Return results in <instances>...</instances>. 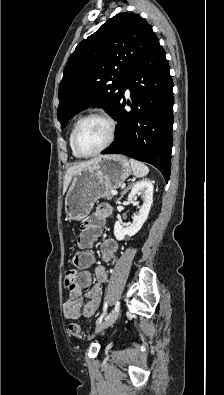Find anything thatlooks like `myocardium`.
I'll use <instances>...</instances> for the list:
<instances>
[{"instance_id":"f54148a6","label":"myocardium","mask_w":224,"mask_h":395,"mask_svg":"<svg viewBox=\"0 0 224 395\" xmlns=\"http://www.w3.org/2000/svg\"><path fill=\"white\" fill-rule=\"evenodd\" d=\"M91 118H98V119H101L104 122H106L108 125V128H109V136H108L106 142L100 148H98L96 151L91 152V153H82L79 150L78 144H77L79 129H80L81 125L86 120L91 119ZM116 128H117L116 121L108 113H106L104 111L96 110V111H91V112L85 114L77 121V123L75 124V127H74L73 138H72V145H73L74 152L80 158H88V157H93V156L98 155L99 153H101L102 151L107 149L112 144V142L114 141L115 136H116Z\"/></svg>"}]
</instances>
